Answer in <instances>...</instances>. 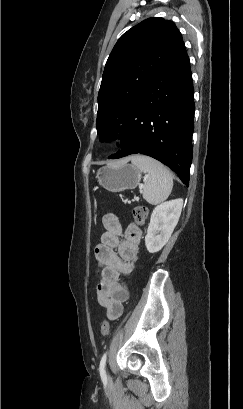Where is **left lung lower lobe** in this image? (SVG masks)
<instances>
[{
  "label": "left lung lower lobe",
  "instance_id": "1",
  "mask_svg": "<svg viewBox=\"0 0 243 409\" xmlns=\"http://www.w3.org/2000/svg\"><path fill=\"white\" fill-rule=\"evenodd\" d=\"M194 90L184 42L150 81L119 145L109 158L151 156L177 173L188 186L194 129Z\"/></svg>",
  "mask_w": 243,
  "mask_h": 409
}]
</instances>
